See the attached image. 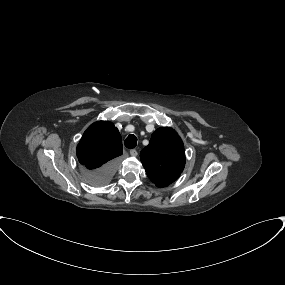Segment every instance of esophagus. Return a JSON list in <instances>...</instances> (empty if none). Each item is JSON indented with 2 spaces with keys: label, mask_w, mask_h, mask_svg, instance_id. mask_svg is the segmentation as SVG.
Returning a JSON list of instances; mask_svg holds the SVG:
<instances>
[{
  "label": "esophagus",
  "mask_w": 285,
  "mask_h": 285,
  "mask_svg": "<svg viewBox=\"0 0 285 285\" xmlns=\"http://www.w3.org/2000/svg\"><path fill=\"white\" fill-rule=\"evenodd\" d=\"M137 154H138V152H137L136 149L130 150V155H131V156H137Z\"/></svg>",
  "instance_id": "obj_1"
}]
</instances>
